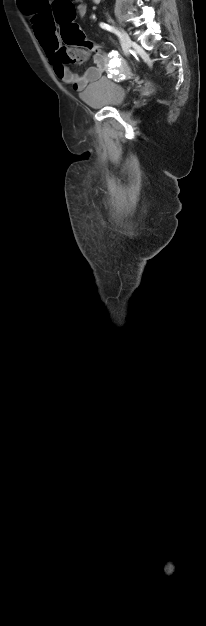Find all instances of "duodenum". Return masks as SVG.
Returning <instances> with one entry per match:
<instances>
[{
  "mask_svg": "<svg viewBox=\"0 0 206 626\" xmlns=\"http://www.w3.org/2000/svg\"><path fill=\"white\" fill-rule=\"evenodd\" d=\"M94 3H98L100 2V0H92Z\"/></svg>",
  "mask_w": 206,
  "mask_h": 626,
  "instance_id": "duodenum-1",
  "label": "duodenum"
}]
</instances>
